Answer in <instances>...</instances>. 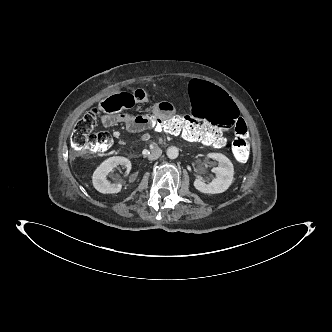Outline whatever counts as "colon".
Returning <instances> with one entry per match:
<instances>
[{
    "label": "colon",
    "instance_id": "5ec220e1",
    "mask_svg": "<svg viewBox=\"0 0 332 332\" xmlns=\"http://www.w3.org/2000/svg\"><path fill=\"white\" fill-rule=\"evenodd\" d=\"M190 110L197 116L177 115L170 120L156 115L153 110L146 109L140 113L141 123L151 125V129L171 135H182L192 141L202 142L215 147L224 145V138L213 127L204 125L210 121L220 130L234 128L235 138L232 152L239 162H245L249 156L248 128L240 120V111L231 98L218 87L208 85L203 80H194L188 86ZM136 102L130 92H119L105 98L99 106L81 117L75 124L71 136V145L77 154L87 152L103 153L112 145V136L107 131H96L100 114L126 112Z\"/></svg>",
    "mask_w": 332,
    "mask_h": 332
}]
</instances>
